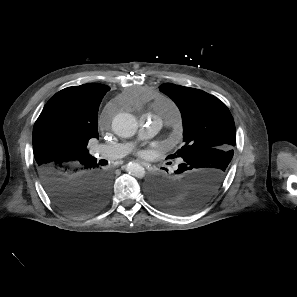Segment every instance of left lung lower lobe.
Instances as JSON below:
<instances>
[{"instance_id":"obj_1","label":"left lung lower lobe","mask_w":297,"mask_h":297,"mask_svg":"<svg viewBox=\"0 0 297 297\" xmlns=\"http://www.w3.org/2000/svg\"><path fill=\"white\" fill-rule=\"evenodd\" d=\"M179 164L173 177L151 180L148 193L161 209L177 214L192 213L209 201L221 186L218 174L206 171L188 172ZM174 197H180L174 200Z\"/></svg>"}]
</instances>
